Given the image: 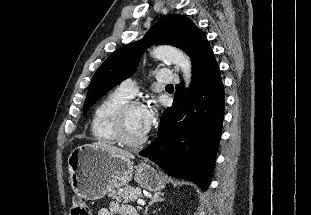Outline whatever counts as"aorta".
<instances>
[{
    "mask_svg": "<svg viewBox=\"0 0 311 215\" xmlns=\"http://www.w3.org/2000/svg\"><path fill=\"white\" fill-rule=\"evenodd\" d=\"M151 54L157 59L166 60L178 66L183 72L185 86L189 87L192 66L190 58L183 51L171 46H159L154 48Z\"/></svg>",
    "mask_w": 311,
    "mask_h": 215,
    "instance_id": "obj_1",
    "label": "aorta"
}]
</instances>
